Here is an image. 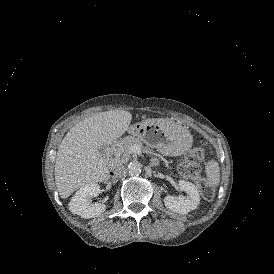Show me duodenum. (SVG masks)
<instances>
[{
    "label": "duodenum",
    "instance_id": "410a0bca",
    "mask_svg": "<svg viewBox=\"0 0 274 274\" xmlns=\"http://www.w3.org/2000/svg\"><path fill=\"white\" fill-rule=\"evenodd\" d=\"M109 154H110V148L108 147V148L106 149V159H107V162H108V163H110ZM110 175H113V173L110 172Z\"/></svg>",
    "mask_w": 274,
    "mask_h": 274
}]
</instances>
